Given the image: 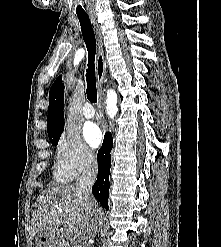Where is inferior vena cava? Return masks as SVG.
Segmentation results:
<instances>
[{
  "label": "inferior vena cava",
  "mask_w": 221,
  "mask_h": 247,
  "mask_svg": "<svg viewBox=\"0 0 221 247\" xmlns=\"http://www.w3.org/2000/svg\"><path fill=\"white\" fill-rule=\"evenodd\" d=\"M97 176V163L93 155L87 156L84 166L76 182V193L86 210V227L83 233L77 237L75 247H91L96 233L98 214L96 201L92 196L91 188Z\"/></svg>",
  "instance_id": "602c4592"
}]
</instances>
